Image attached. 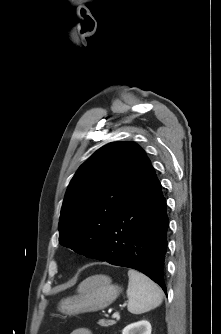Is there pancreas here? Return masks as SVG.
Returning a JSON list of instances; mask_svg holds the SVG:
<instances>
[{
	"label": "pancreas",
	"instance_id": "pancreas-1",
	"mask_svg": "<svg viewBox=\"0 0 221 334\" xmlns=\"http://www.w3.org/2000/svg\"><path fill=\"white\" fill-rule=\"evenodd\" d=\"M116 322L113 321V320H105V319H100L98 321V324L102 327H109V326H112L114 325Z\"/></svg>",
	"mask_w": 221,
	"mask_h": 334
}]
</instances>
